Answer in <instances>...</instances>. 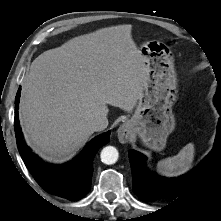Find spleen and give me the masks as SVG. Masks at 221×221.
<instances>
[{
    "label": "spleen",
    "instance_id": "spleen-1",
    "mask_svg": "<svg viewBox=\"0 0 221 221\" xmlns=\"http://www.w3.org/2000/svg\"><path fill=\"white\" fill-rule=\"evenodd\" d=\"M194 155V144L189 143L177 155L159 161L157 171L165 176L182 175L192 167Z\"/></svg>",
    "mask_w": 221,
    "mask_h": 221
}]
</instances>
